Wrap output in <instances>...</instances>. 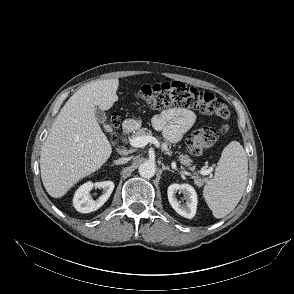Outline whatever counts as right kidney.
I'll list each match as a JSON object with an SVG mask.
<instances>
[{
    "label": "right kidney",
    "instance_id": "1",
    "mask_svg": "<svg viewBox=\"0 0 294 294\" xmlns=\"http://www.w3.org/2000/svg\"><path fill=\"white\" fill-rule=\"evenodd\" d=\"M114 183L112 181L103 182H87L81 185L75 192L73 197V205L78 212L90 213L98 210L109 199L114 190ZM103 189V194L96 200H93L89 193L94 188Z\"/></svg>",
    "mask_w": 294,
    "mask_h": 294
}]
</instances>
